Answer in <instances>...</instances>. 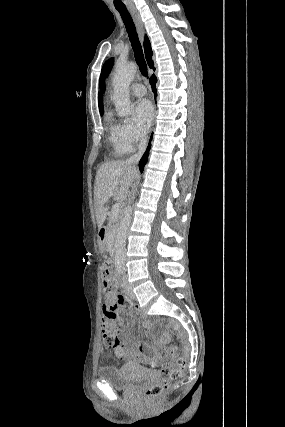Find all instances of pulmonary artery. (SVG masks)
Wrapping results in <instances>:
<instances>
[{
	"label": "pulmonary artery",
	"mask_w": 285,
	"mask_h": 427,
	"mask_svg": "<svg viewBox=\"0 0 285 427\" xmlns=\"http://www.w3.org/2000/svg\"><path fill=\"white\" fill-rule=\"evenodd\" d=\"M146 93L145 87L140 83H135L131 86V94L136 97H141Z\"/></svg>",
	"instance_id": "pulmonary-artery-1"
}]
</instances>
